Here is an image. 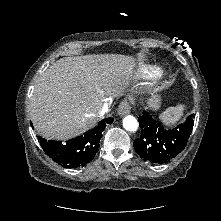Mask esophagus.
Returning <instances> with one entry per match:
<instances>
[{
  "label": "esophagus",
  "mask_w": 221,
  "mask_h": 221,
  "mask_svg": "<svg viewBox=\"0 0 221 221\" xmlns=\"http://www.w3.org/2000/svg\"><path fill=\"white\" fill-rule=\"evenodd\" d=\"M130 110H131V104L127 100H125L119 104L117 112L119 116H124L128 114Z\"/></svg>",
  "instance_id": "34e87169"
}]
</instances>
